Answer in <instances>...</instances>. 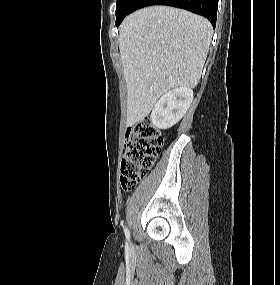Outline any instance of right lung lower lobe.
<instances>
[{"label": "right lung lower lobe", "instance_id": "1", "mask_svg": "<svg viewBox=\"0 0 280 285\" xmlns=\"http://www.w3.org/2000/svg\"><path fill=\"white\" fill-rule=\"evenodd\" d=\"M151 5H168L186 9L206 17L213 28L216 26L218 0H137L132 12ZM122 21L117 22L116 26H119Z\"/></svg>", "mask_w": 280, "mask_h": 285}]
</instances>
